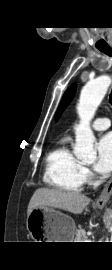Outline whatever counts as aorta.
Here are the masks:
<instances>
[{"mask_svg":"<svg viewBox=\"0 0 112 270\" xmlns=\"http://www.w3.org/2000/svg\"><path fill=\"white\" fill-rule=\"evenodd\" d=\"M110 83V78L103 75L87 83L81 91L77 105L80 122L75 127L76 143L74 147V154L78 159L96 160L97 153L93 147L95 137L91 130L90 122L95 115L97 107L104 98Z\"/></svg>","mask_w":112,"mask_h":270,"instance_id":"aorta-1","label":"aorta"}]
</instances>
